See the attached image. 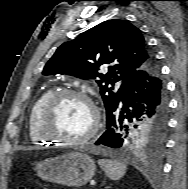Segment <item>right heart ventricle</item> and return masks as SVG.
Returning <instances> with one entry per match:
<instances>
[{
    "label": "right heart ventricle",
    "instance_id": "1",
    "mask_svg": "<svg viewBox=\"0 0 188 189\" xmlns=\"http://www.w3.org/2000/svg\"><path fill=\"white\" fill-rule=\"evenodd\" d=\"M56 92L55 88H50L43 92L32 104L28 114V134L31 142L36 145H43L51 143L50 140L43 138L38 130V122L41 112L50 99V97Z\"/></svg>",
    "mask_w": 188,
    "mask_h": 189
}]
</instances>
